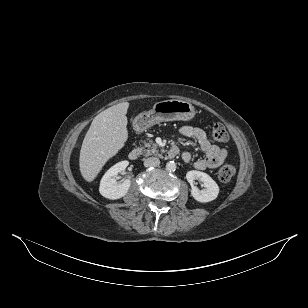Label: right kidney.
I'll return each instance as SVG.
<instances>
[{"label": "right kidney", "instance_id": "obj_1", "mask_svg": "<svg viewBox=\"0 0 308 308\" xmlns=\"http://www.w3.org/2000/svg\"><path fill=\"white\" fill-rule=\"evenodd\" d=\"M129 165L128 161H121L112 166L102 177L99 187L100 194L108 199L115 200L124 197L131 185L129 179L117 184L116 176Z\"/></svg>", "mask_w": 308, "mask_h": 308}]
</instances>
